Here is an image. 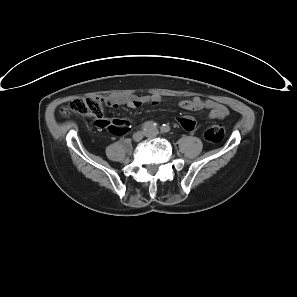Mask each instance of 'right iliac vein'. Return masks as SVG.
<instances>
[{"instance_id": "right-iliac-vein-1", "label": "right iliac vein", "mask_w": 297, "mask_h": 297, "mask_svg": "<svg viewBox=\"0 0 297 297\" xmlns=\"http://www.w3.org/2000/svg\"><path fill=\"white\" fill-rule=\"evenodd\" d=\"M146 132L145 131H138L136 133H134L133 135V140L135 142H139L143 139V137L145 136Z\"/></svg>"}]
</instances>
